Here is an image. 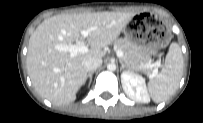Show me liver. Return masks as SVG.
I'll list each match as a JSON object with an SVG mask.
<instances>
[{
	"label": "liver",
	"mask_w": 203,
	"mask_h": 123,
	"mask_svg": "<svg viewBox=\"0 0 203 123\" xmlns=\"http://www.w3.org/2000/svg\"><path fill=\"white\" fill-rule=\"evenodd\" d=\"M136 12H95L61 14L44 20L29 39L27 72L36 92L54 105H65L76 99V93L86 82L84 62L105 56V48L117 40ZM91 27L87 37L82 30ZM90 45L87 53L74 57L59 51V44Z\"/></svg>",
	"instance_id": "6515ba94"
}]
</instances>
